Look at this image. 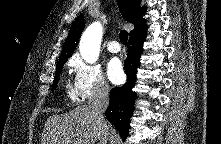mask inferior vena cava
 <instances>
[{"label": "inferior vena cava", "mask_w": 221, "mask_h": 144, "mask_svg": "<svg viewBox=\"0 0 221 144\" xmlns=\"http://www.w3.org/2000/svg\"><path fill=\"white\" fill-rule=\"evenodd\" d=\"M109 92L110 89L107 84H100L95 94L88 102L89 110L91 111L98 125H100L102 128L100 132L99 144H107L108 140L106 120L103 114L109 105Z\"/></svg>", "instance_id": "obj_1"}]
</instances>
